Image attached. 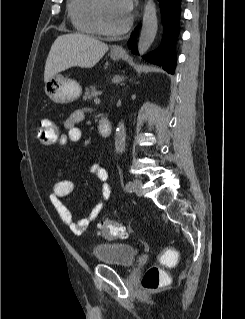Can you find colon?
Segmentation results:
<instances>
[{
	"label": "colon",
	"mask_w": 245,
	"mask_h": 319,
	"mask_svg": "<svg viewBox=\"0 0 245 319\" xmlns=\"http://www.w3.org/2000/svg\"><path fill=\"white\" fill-rule=\"evenodd\" d=\"M58 134V127L49 119L40 120L36 126V139L42 145L54 144ZM96 232L106 239L127 238L129 234L125 226L109 219L99 221L96 224ZM162 260L170 262L172 258L170 255L164 254ZM166 282L165 274L158 267H151L144 275L142 286L146 290H156L165 285Z\"/></svg>",
	"instance_id": "colon-1"
}]
</instances>
